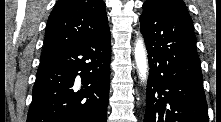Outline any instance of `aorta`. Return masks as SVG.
<instances>
[{
    "mask_svg": "<svg viewBox=\"0 0 221 122\" xmlns=\"http://www.w3.org/2000/svg\"><path fill=\"white\" fill-rule=\"evenodd\" d=\"M134 55L141 82H145L148 76V60H147L146 48L142 37H139L136 40Z\"/></svg>",
    "mask_w": 221,
    "mask_h": 122,
    "instance_id": "aorta-1",
    "label": "aorta"
}]
</instances>
